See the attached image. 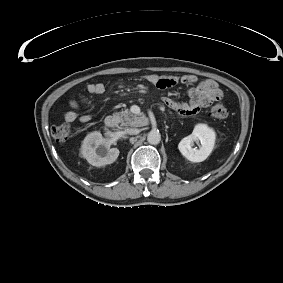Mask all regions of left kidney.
<instances>
[{
  "label": "left kidney",
  "instance_id": "obj_1",
  "mask_svg": "<svg viewBox=\"0 0 283 283\" xmlns=\"http://www.w3.org/2000/svg\"><path fill=\"white\" fill-rule=\"evenodd\" d=\"M215 132L206 124H197L191 135L184 137L178 149L181 154L192 162L204 161L212 152L215 144ZM200 141L201 146L199 149L192 148L193 143Z\"/></svg>",
  "mask_w": 283,
  "mask_h": 283
}]
</instances>
